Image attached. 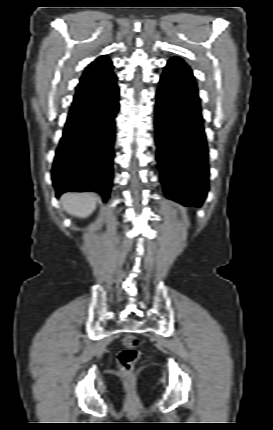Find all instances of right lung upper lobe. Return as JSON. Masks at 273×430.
I'll list each match as a JSON object with an SVG mask.
<instances>
[{"label":"right lung upper lobe","instance_id":"1","mask_svg":"<svg viewBox=\"0 0 273 430\" xmlns=\"http://www.w3.org/2000/svg\"><path fill=\"white\" fill-rule=\"evenodd\" d=\"M112 62L105 56H100L91 63L84 71L78 89L74 96L73 104L85 99L92 85L97 84L110 76H114L112 73Z\"/></svg>","mask_w":273,"mask_h":430}]
</instances>
